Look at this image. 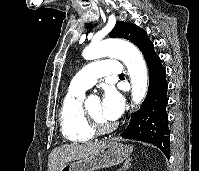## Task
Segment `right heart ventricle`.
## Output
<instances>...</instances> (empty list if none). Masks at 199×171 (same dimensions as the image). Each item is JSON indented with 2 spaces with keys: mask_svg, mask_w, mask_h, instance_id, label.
Returning a JSON list of instances; mask_svg holds the SVG:
<instances>
[{
  "mask_svg": "<svg viewBox=\"0 0 199 171\" xmlns=\"http://www.w3.org/2000/svg\"><path fill=\"white\" fill-rule=\"evenodd\" d=\"M83 98V91L69 88L61 103L59 112L61 131L63 136L72 142H86L94 136L82 106Z\"/></svg>",
  "mask_w": 199,
  "mask_h": 171,
  "instance_id": "e07e8e85",
  "label": "right heart ventricle"
}]
</instances>
